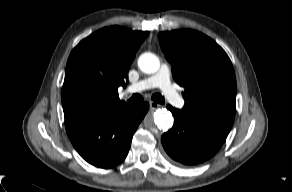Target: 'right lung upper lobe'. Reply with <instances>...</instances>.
<instances>
[{
	"instance_id": "right-lung-upper-lobe-1",
	"label": "right lung upper lobe",
	"mask_w": 292,
	"mask_h": 192,
	"mask_svg": "<svg viewBox=\"0 0 292 192\" xmlns=\"http://www.w3.org/2000/svg\"><path fill=\"white\" fill-rule=\"evenodd\" d=\"M148 32L111 26L83 39L71 52L62 90L64 116L107 113L127 105L117 89L125 87L135 53Z\"/></svg>"
}]
</instances>
